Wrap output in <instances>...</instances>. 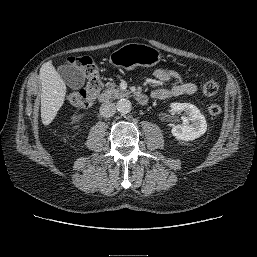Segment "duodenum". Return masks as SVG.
Masks as SVG:
<instances>
[{
    "instance_id": "duodenum-1",
    "label": "duodenum",
    "mask_w": 257,
    "mask_h": 257,
    "mask_svg": "<svg viewBox=\"0 0 257 257\" xmlns=\"http://www.w3.org/2000/svg\"><path fill=\"white\" fill-rule=\"evenodd\" d=\"M134 97H135L136 101L138 102V104H140V105H145L148 101V97L142 92H136L134 94ZM99 100H100V102L105 103L108 101V97L106 94H102V95H100Z\"/></svg>"
}]
</instances>
